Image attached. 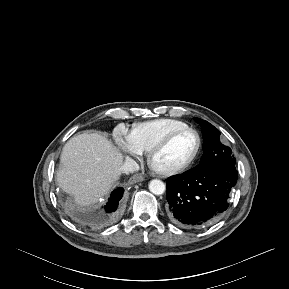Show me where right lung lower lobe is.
<instances>
[{"instance_id":"98d812e1","label":"right lung lower lobe","mask_w":289,"mask_h":289,"mask_svg":"<svg viewBox=\"0 0 289 289\" xmlns=\"http://www.w3.org/2000/svg\"><path fill=\"white\" fill-rule=\"evenodd\" d=\"M123 192H124L123 188L119 187L111 193L109 201L104 207V210L97 212L96 215L94 216L95 220L98 223L108 225L116 219L118 214L117 211L118 204L123 196Z\"/></svg>"}]
</instances>
